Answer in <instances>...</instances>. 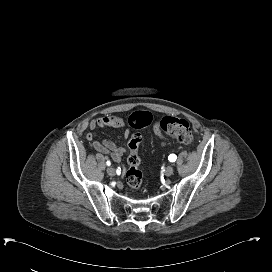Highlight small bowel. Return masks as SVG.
I'll list each match as a JSON object with an SVG mask.
<instances>
[{"mask_svg": "<svg viewBox=\"0 0 272 272\" xmlns=\"http://www.w3.org/2000/svg\"><path fill=\"white\" fill-rule=\"evenodd\" d=\"M92 132H89L86 136L87 140L91 142L92 147L103 154H108L111 156L112 160L119 163L124 154V149L110 140H97L96 133L94 132L97 128H110L113 130H121L124 137L129 136V130L126 128L125 122L122 118L114 115H105L93 119L89 125ZM152 132L156 140L160 142L162 146L166 144V138L163 135L158 124H154L152 127ZM129 156L136 159L137 164H140V156L138 153V148L129 149ZM122 171L125 172V168L122 167Z\"/></svg>", "mask_w": 272, "mask_h": 272, "instance_id": "1", "label": "small bowel"}]
</instances>
